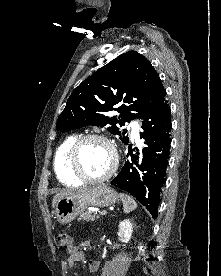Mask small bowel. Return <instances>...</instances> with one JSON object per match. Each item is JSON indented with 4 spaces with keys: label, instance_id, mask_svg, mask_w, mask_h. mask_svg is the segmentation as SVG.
Returning a JSON list of instances; mask_svg holds the SVG:
<instances>
[{
    "label": "small bowel",
    "instance_id": "1",
    "mask_svg": "<svg viewBox=\"0 0 221 276\" xmlns=\"http://www.w3.org/2000/svg\"><path fill=\"white\" fill-rule=\"evenodd\" d=\"M90 245L88 241L82 242L79 246L73 245L68 249L67 254V264L69 267H73L77 262L83 261L85 259L82 248H86ZM88 268L90 273H95L99 268V261L94 259H87Z\"/></svg>",
    "mask_w": 221,
    "mask_h": 276
}]
</instances>
